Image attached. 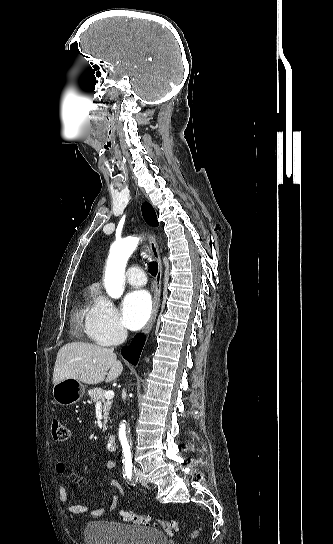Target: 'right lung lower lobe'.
I'll list each match as a JSON object with an SVG mask.
<instances>
[{
	"instance_id": "98d812e1",
	"label": "right lung lower lobe",
	"mask_w": 333,
	"mask_h": 544,
	"mask_svg": "<svg viewBox=\"0 0 333 544\" xmlns=\"http://www.w3.org/2000/svg\"><path fill=\"white\" fill-rule=\"evenodd\" d=\"M144 345V337H136L129 347L122 348L123 357L133 365H136L139 360L140 353Z\"/></svg>"
}]
</instances>
